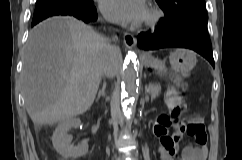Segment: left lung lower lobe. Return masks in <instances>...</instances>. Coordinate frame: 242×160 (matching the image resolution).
Segmentation results:
<instances>
[{
  "label": "left lung lower lobe",
  "instance_id": "0a47b994",
  "mask_svg": "<svg viewBox=\"0 0 242 160\" xmlns=\"http://www.w3.org/2000/svg\"><path fill=\"white\" fill-rule=\"evenodd\" d=\"M137 41L145 50L167 47L188 48L198 52L213 67L215 66L207 23L194 22L175 27L161 19L154 33H140Z\"/></svg>",
  "mask_w": 242,
  "mask_h": 160
}]
</instances>
